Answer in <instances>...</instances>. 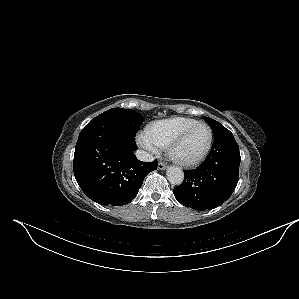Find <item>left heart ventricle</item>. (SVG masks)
Wrapping results in <instances>:
<instances>
[{
  "label": "left heart ventricle",
  "mask_w": 299,
  "mask_h": 299,
  "mask_svg": "<svg viewBox=\"0 0 299 299\" xmlns=\"http://www.w3.org/2000/svg\"><path fill=\"white\" fill-rule=\"evenodd\" d=\"M208 139V129L202 125L196 126L179 145L176 154L182 159H193L205 149Z\"/></svg>",
  "instance_id": "obj_1"
}]
</instances>
